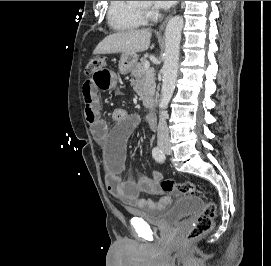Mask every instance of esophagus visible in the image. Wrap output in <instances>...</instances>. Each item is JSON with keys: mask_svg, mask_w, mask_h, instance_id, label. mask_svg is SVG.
I'll use <instances>...</instances> for the list:
<instances>
[{"mask_svg": "<svg viewBox=\"0 0 271 266\" xmlns=\"http://www.w3.org/2000/svg\"><path fill=\"white\" fill-rule=\"evenodd\" d=\"M174 12H175V11H174ZM174 12H172V14H173ZM172 14H170V15L166 18V20L162 23V25L160 26V30H163V29H164V27H165L167 21L171 18Z\"/></svg>", "mask_w": 271, "mask_h": 266, "instance_id": "esophagus-1", "label": "esophagus"}]
</instances>
